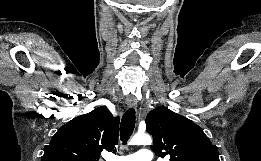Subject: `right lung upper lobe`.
Returning a JSON list of instances; mask_svg holds the SVG:
<instances>
[{"mask_svg": "<svg viewBox=\"0 0 261 161\" xmlns=\"http://www.w3.org/2000/svg\"><path fill=\"white\" fill-rule=\"evenodd\" d=\"M119 117L105 106L78 116L53 136L41 161H97L103 149L118 143Z\"/></svg>", "mask_w": 261, "mask_h": 161, "instance_id": "obj_1", "label": "right lung upper lobe"}]
</instances>
